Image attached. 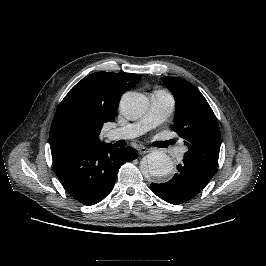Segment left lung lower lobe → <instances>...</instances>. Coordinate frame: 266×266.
<instances>
[{"instance_id":"0a47b994","label":"left lung lower lobe","mask_w":266,"mask_h":266,"mask_svg":"<svg viewBox=\"0 0 266 266\" xmlns=\"http://www.w3.org/2000/svg\"><path fill=\"white\" fill-rule=\"evenodd\" d=\"M213 176L214 174L183 160L171 180L162 184L152 183L151 190L164 201L178 205L196 196Z\"/></svg>"}]
</instances>
